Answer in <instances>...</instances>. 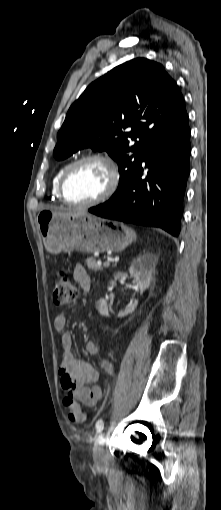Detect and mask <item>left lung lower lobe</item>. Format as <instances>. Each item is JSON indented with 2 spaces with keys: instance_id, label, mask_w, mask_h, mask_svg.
Listing matches in <instances>:
<instances>
[{
  "instance_id": "obj_1",
  "label": "left lung lower lobe",
  "mask_w": 221,
  "mask_h": 510,
  "mask_svg": "<svg viewBox=\"0 0 221 510\" xmlns=\"http://www.w3.org/2000/svg\"><path fill=\"white\" fill-rule=\"evenodd\" d=\"M190 135L187 123L154 141L129 185L107 202L90 208L89 212L108 219L159 227L177 237L190 173ZM146 168V177L142 178Z\"/></svg>"
}]
</instances>
